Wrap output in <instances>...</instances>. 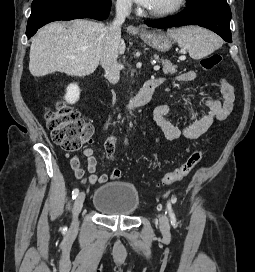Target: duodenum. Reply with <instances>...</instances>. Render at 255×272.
<instances>
[{"label":"duodenum","instance_id":"1","mask_svg":"<svg viewBox=\"0 0 255 272\" xmlns=\"http://www.w3.org/2000/svg\"><path fill=\"white\" fill-rule=\"evenodd\" d=\"M159 84L160 81L155 77L148 79L143 84L140 91L125 104L126 108L129 110H136L148 104Z\"/></svg>","mask_w":255,"mask_h":272}]
</instances>
